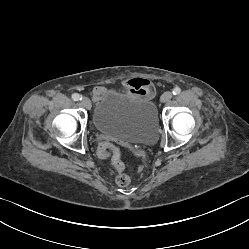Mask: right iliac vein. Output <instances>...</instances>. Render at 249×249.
Returning a JSON list of instances; mask_svg holds the SVG:
<instances>
[{"label": "right iliac vein", "mask_w": 249, "mask_h": 249, "mask_svg": "<svg viewBox=\"0 0 249 249\" xmlns=\"http://www.w3.org/2000/svg\"><path fill=\"white\" fill-rule=\"evenodd\" d=\"M81 103H82V105L84 106V107H86V108H90L91 107V102H90V100L87 98V97H83L82 99H81Z\"/></svg>", "instance_id": "right-iliac-vein-1"}]
</instances>
